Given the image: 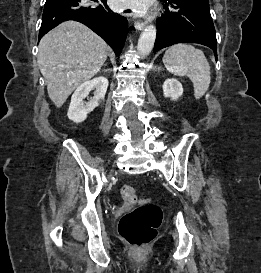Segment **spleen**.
Segmentation results:
<instances>
[{"label":"spleen","instance_id":"3e777b00","mask_svg":"<svg viewBox=\"0 0 261 273\" xmlns=\"http://www.w3.org/2000/svg\"><path fill=\"white\" fill-rule=\"evenodd\" d=\"M162 60L166 69L173 75L190 78L196 99L204 96L210 85L211 72L210 65L200 49L179 43L169 47Z\"/></svg>","mask_w":261,"mask_h":273}]
</instances>
